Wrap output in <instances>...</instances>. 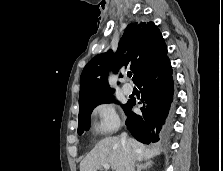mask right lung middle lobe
Segmentation results:
<instances>
[{
  "instance_id": "obj_1",
  "label": "right lung middle lobe",
  "mask_w": 223,
  "mask_h": 171,
  "mask_svg": "<svg viewBox=\"0 0 223 171\" xmlns=\"http://www.w3.org/2000/svg\"><path fill=\"white\" fill-rule=\"evenodd\" d=\"M117 102L112 95L107 96L105 98H102L96 102H93L91 104L85 105L79 109V116H78V134L82 135L84 131H88L90 128V114L92 110L98 105V104H104V103H112ZM128 102L125 105H122L124 111H126L128 107Z\"/></svg>"
}]
</instances>
